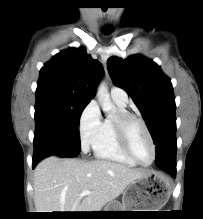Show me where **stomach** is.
<instances>
[{
	"label": "stomach",
	"mask_w": 203,
	"mask_h": 219,
	"mask_svg": "<svg viewBox=\"0 0 203 219\" xmlns=\"http://www.w3.org/2000/svg\"><path fill=\"white\" fill-rule=\"evenodd\" d=\"M169 196L168 182L155 172H147L129 185L123 194L122 203L110 202L103 211H159Z\"/></svg>",
	"instance_id": "obj_1"
}]
</instances>
